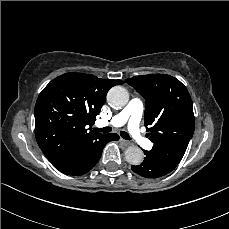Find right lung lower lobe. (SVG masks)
Masks as SVG:
<instances>
[{
  "instance_id": "98d812e1",
  "label": "right lung lower lobe",
  "mask_w": 229,
  "mask_h": 229,
  "mask_svg": "<svg viewBox=\"0 0 229 229\" xmlns=\"http://www.w3.org/2000/svg\"><path fill=\"white\" fill-rule=\"evenodd\" d=\"M113 140H119L116 133L101 134L98 139L90 142L70 163L59 171L74 176L87 173L100 159L106 143Z\"/></svg>"
}]
</instances>
